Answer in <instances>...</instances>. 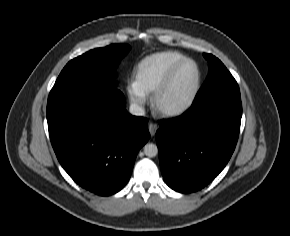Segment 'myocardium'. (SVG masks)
I'll return each instance as SVG.
<instances>
[{
  "label": "myocardium",
  "mask_w": 290,
  "mask_h": 236,
  "mask_svg": "<svg viewBox=\"0 0 290 236\" xmlns=\"http://www.w3.org/2000/svg\"><path fill=\"white\" fill-rule=\"evenodd\" d=\"M187 63L193 64L195 66V69H196V82H195V86H194V89H193L191 95L180 106H177L174 108L162 107L159 104L160 97L166 91V89L169 87V85L171 84V82H172L175 74L178 72V70L183 65H185ZM201 83H202V73H201V69H200V66L198 65V63L191 58L182 59L181 61H179L178 63H176L172 67V69L170 70V72L166 76L165 80L153 92V95L151 97V106L153 108V111L157 115H159L160 117H164V118H170V117H176V116L182 115L183 113L188 111L192 107V105L194 104V102H195V100L200 92Z\"/></svg>",
  "instance_id": "obj_1"
}]
</instances>
